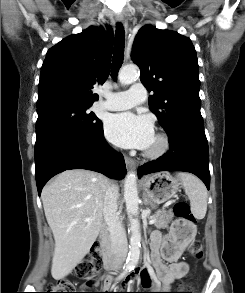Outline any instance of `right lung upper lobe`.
<instances>
[{"instance_id": "obj_1", "label": "right lung upper lobe", "mask_w": 245, "mask_h": 293, "mask_svg": "<svg viewBox=\"0 0 245 293\" xmlns=\"http://www.w3.org/2000/svg\"><path fill=\"white\" fill-rule=\"evenodd\" d=\"M113 31L90 26L48 50L38 86L37 108L52 104L92 105L91 89L109 76Z\"/></svg>"}]
</instances>
